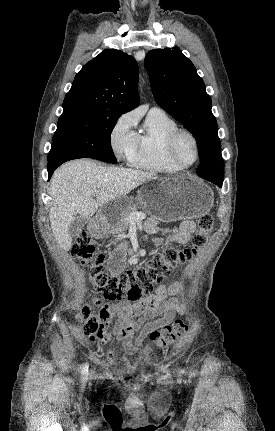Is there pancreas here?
Segmentation results:
<instances>
[{
	"label": "pancreas",
	"instance_id": "obj_1",
	"mask_svg": "<svg viewBox=\"0 0 275 431\" xmlns=\"http://www.w3.org/2000/svg\"><path fill=\"white\" fill-rule=\"evenodd\" d=\"M137 208H139L138 204L133 203L132 205L128 206L126 209L122 210L119 213L116 227L113 230V234H114V238H115V244L120 239L125 237V232L128 229L129 224H130L129 215L132 212H136Z\"/></svg>",
	"mask_w": 275,
	"mask_h": 431
}]
</instances>
